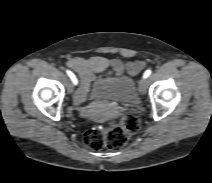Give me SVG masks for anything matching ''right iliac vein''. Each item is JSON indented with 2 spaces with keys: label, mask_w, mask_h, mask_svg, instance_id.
I'll use <instances>...</instances> for the list:
<instances>
[{
  "label": "right iliac vein",
  "mask_w": 212,
  "mask_h": 183,
  "mask_svg": "<svg viewBox=\"0 0 212 183\" xmlns=\"http://www.w3.org/2000/svg\"><path fill=\"white\" fill-rule=\"evenodd\" d=\"M73 90V85H69V91L71 92ZM76 95H77V92L75 93V97H76Z\"/></svg>",
  "instance_id": "1"
}]
</instances>
